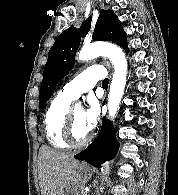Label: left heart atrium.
I'll return each instance as SVG.
<instances>
[{"label":"left heart atrium","mask_w":178,"mask_h":195,"mask_svg":"<svg viewBox=\"0 0 178 195\" xmlns=\"http://www.w3.org/2000/svg\"><path fill=\"white\" fill-rule=\"evenodd\" d=\"M98 117V105L95 100L91 99L89 100L87 109L83 112V121L88 131H91L95 127Z\"/></svg>","instance_id":"39dd6f15"}]
</instances>
